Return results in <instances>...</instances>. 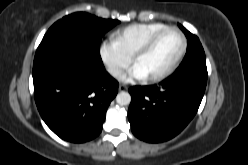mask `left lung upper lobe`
<instances>
[{
    "label": "left lung upper lobe",
    "instance_id": "1",
    "mask_svg": "<svg viewBox=\"0 0 248 165\" xmlns=\"http://www.w3.org/2000/svg\"><path fill=\"white\" fill-rule=\"evenodd\" d=\"M178 26L185 33L187 37L188 46H187V52L185 58L177 70L182 69L196 61H201V60L205 61L206 60L205 53L199 41V38L196 35L190 33L182 25L178 24Z\"/></svg>",
    "mask_w": 248,
    "mask_h": 165
}]
</instances>
